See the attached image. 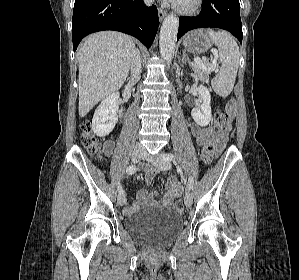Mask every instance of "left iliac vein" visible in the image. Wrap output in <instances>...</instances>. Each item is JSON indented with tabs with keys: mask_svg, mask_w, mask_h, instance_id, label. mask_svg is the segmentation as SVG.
<instances>
[{
	"mask_svg": "<svg viewBox=\"0 0 299 280\" xmlns=\"http://www.w3.org/2000/svg\"><path fill=\"white\" fill-rule=\"evenodd\" d=\"M144 158L161 171H167L171 168L170 162L164 158V154H160L158 157H151L145 154ZM184 203L187 207H190L192 204V194L189 190L186 191Z\"/></svg>",
	"mask_w": 299,
	"mask_h": 280,
	"instance_id": "1",
	"label": "left iliac vein"
}]
</instances>
